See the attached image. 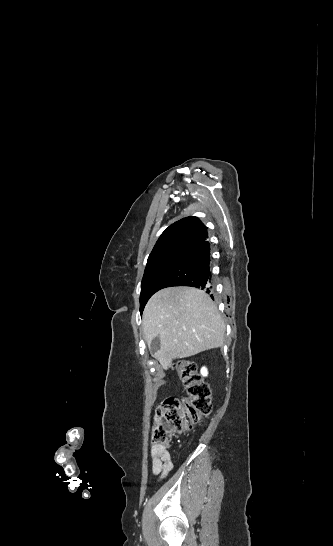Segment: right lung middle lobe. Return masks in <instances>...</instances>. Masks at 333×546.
I'll return each mask as SVG.
<instances>
[{
    "label": "right lung middle lobe",
    "mask_w": 333,
    "mask_h": 546,
    "mask_svg": "<svg viewBox=\"0 0 333 546\" xmlns=\"http://www.w3.org/2000/svg\"><path fill=\"white\" fill-rule=\"evenodd\" d=\"M188 249L174 248L150 255L141 283L140 308H144L148 299L155 293L159 278L177 262Z\"/></svg>",
    "instance_id": "right-lung-middle-lobe-1"
}]
</instances>
